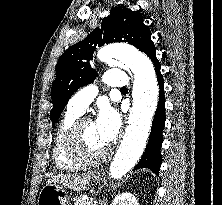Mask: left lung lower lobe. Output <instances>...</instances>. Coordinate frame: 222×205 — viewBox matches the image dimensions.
Wrapping results in <instances>:
<instances>
[{"instance_id": "obj_1", "label": "left lung lower lobe", "mask_w": 222, "mask_h": 205, "mask_svg": "<svg viewBox=\"0 0 222 205\" xmlns=\"http://www.w3.org/2000/svg\"><path fill=\"white\" fill-rule=\"evenodd\" d=\"M141 51L144 52L151 59V61L155 66L160 93H159V102L154 115L148 144L141 159L139 160L138 164L135 166L134 169L136 170L140 168H148L156 175H158L162 163V157L160 154V149L163 143L162 130L164 128L165 119H166L164 81L162 74L160 72L161 68L160 63L155 55L156 49L153 44V41L151 40V36H149L145 40L141 48Z\"/></svg>"}]
</instances>
